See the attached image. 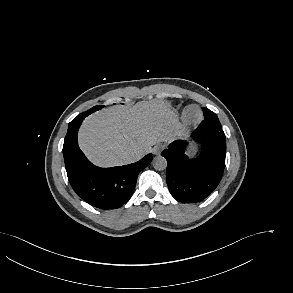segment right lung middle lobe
I'll return each instance as SVG.
<instances>
[{
	"mask_svg": "<svg viewBox=\"0 0 293 293\" xmlns=\"http://www.w3.org/2000/svg\"><path fill=\"white\" fill-rule=\"evenodd\" d=\"M102 107H103V106H101V105L94 106L93 108H91V109L88 110L87 112H89V113H93V112H95V111L101 109Z\"/></svg>",
	"mask_w": 293,
	"mask_h": 293,
	"instance_id": "1",
	"label": "right lung middle lobe"
}]
</instances>
